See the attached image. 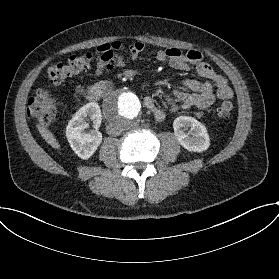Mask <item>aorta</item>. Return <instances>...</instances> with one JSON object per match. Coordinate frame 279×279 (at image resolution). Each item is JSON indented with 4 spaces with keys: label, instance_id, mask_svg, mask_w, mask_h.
<instances>
[{
    "label": "aorta",
    "instance_id": "obj_1",
    "mask_svg": "<svg viewBox=\"0 0 279 279\" xmlns=\"http://www.w3.org/2000/svg\"><path fill=\"white\" fill-rule=\"evenodd\" d=\"M103 110L109 124L120 126L124 130L136 125L142 105L135 93L119 88L105 98Z\"/></svg>",
    "mask_w": 279,
    "mask_h": 279
}]
</instances>
